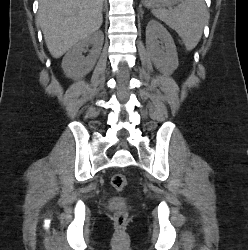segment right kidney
I'll return each instance as SVG.
<instances>
[{
  "label": "right kidney",
  "mask_w": 248,
  "mask_h": 250,
  "mask_svg": "<svg viewBox=\"0 0 248 250\" xmlns=\"http://www.w3.org/2000/svg\"><path fill=\"white\" fill-rule=\"evenodd\" d=\"M103 41V33L97 31L70 48L62 60V69L65 75L71 79H78L88 74L99 58ZM89 46H92V49L89 55L84 57L82 52L86 51Z\"/></svg>",
  "instance_id": "obj_1"
}]
</instances>
